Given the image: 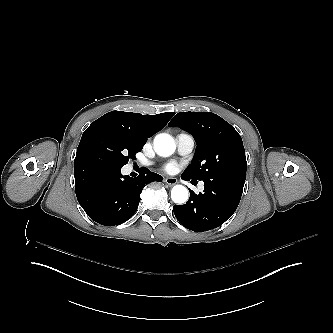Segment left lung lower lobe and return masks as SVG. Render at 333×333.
<instances>
[{
    "mask_svg": "<svg viewBox=\"0 0 333 333\" xmlns=\"http://www.w3.org/2000/svg\"><path fill=\"white\" fill-rule=\"evenodd\" d=\"M187 181L194 179L181 175ZM243 180L223 177L204 183V193L196 195L190 191L189 201L174 205L177 220L192 231H208L227 221L235 212L241 199Z\"/></svg>",
    "mask_w": 333,
    "mask_h": 333,
    "instance_id": "0a47b994",
    "label": "left lung lower lobe"
}]
</instances>
